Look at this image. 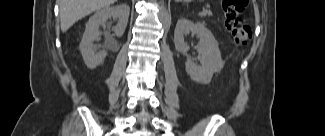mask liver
I'll return each instance as SVG.
<instances>
[{"instance_id": "liver-1", "label": "liver", "mask_w": 325, "mask_h": 136, "mask_svg": "<svg viewBox=\"0 0 325 136\" xmlns=\"http://www.w3.org/2000/svg\"><path fill=\"white\" fill-rule=\"evenodd\" d=\"M115 1L116 0H58L61 31L66 32L78 20L94 11L108 7Z\"/></svg>"}]
</instances>
